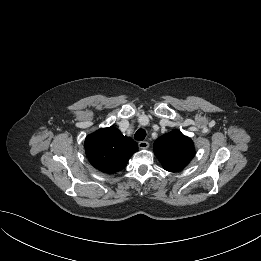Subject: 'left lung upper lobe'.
I'll list each match as a JSON object with an SVG mask.
<instances>
[{"label": "left lung upper lobe", "instance_id": "left-lung-upper-lobe-1", "mask_svg": "<svg viewBox=\"0 0 261 261\" xmlns=\"http://www.w3.org/2000/svg\"><path fill=\"white\" fill-rule=\"evenodd\" d=\"M153 148L163 168L169 172L182 170L195 156L193 141L178 130L156 139Z\"/></svg>", "mask_w": 261, "mask_h": 261}]
</instances>
